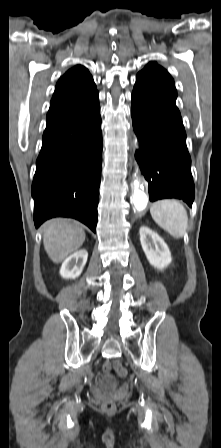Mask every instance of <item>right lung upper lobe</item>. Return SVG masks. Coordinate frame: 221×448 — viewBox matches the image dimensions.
<instances>
[{
	"mask_svg": "<svg viewBox=\"0 0 221 448\" xmlns=\"http://www.w3.org/2000/svg\"><path fill=\"white\" fill-rule=\"evenodd\" d=\"M96 93L93 78L84 66L69 69L56 84L47 119L83 103Z\"/></svg>",
	"mask_w": 221,
	"mask_h": 448,
	"instance_id": "cb5924a9",
	"label": "right lung upper lobe"
}]
</instances>
